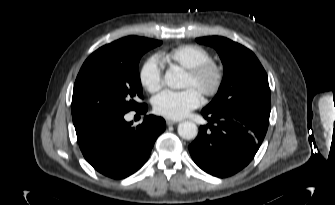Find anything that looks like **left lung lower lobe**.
Instances as JSON below:
<instances>
[{
	"instance_id": "1",
	"label": "left lung lower lobe",
	"mask_w": 335,
	"mask_h": 205,
	"mask_svg": "<svg viewBox=\"0 0 335 205\" xmlns=\"http://www.w3.org/2000/svg\"><path fill=\"white\" fill-rule=\"evenodd\" d=\"M202 114L209 123L200 127L198 137L189 146L194 162L220 178L247 166L266 135L269 119L246 111Z\"/></svg>"
}]
</instances>
